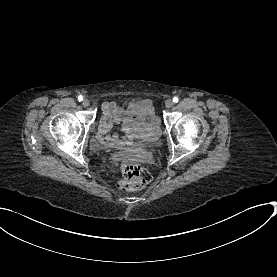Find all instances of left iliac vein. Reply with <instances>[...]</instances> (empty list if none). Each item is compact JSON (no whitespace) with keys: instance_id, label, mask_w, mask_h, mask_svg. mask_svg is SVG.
<instances>
[{"instance_id":"left-iliac-vein-1","label":"left iliac vein","mask_w":277,"mask_h":277,"mask_svg":"<svg viewBox=\"0 0 277 277\" xmlns=\"http://www.w3.org/2000/svg\"><path fill=\"white\" fill-rule=\"evenodd\" d=\"M173 105H174V102H173V100H171V99H168V100L165 102V106H166L167 108H171Z\"/></svg>"}]
</instances>
